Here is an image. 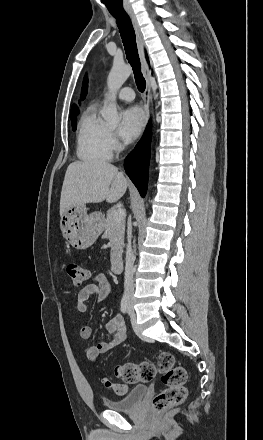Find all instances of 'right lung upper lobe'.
<instances>
[{"mask_svg":"<svg viewBox=\"0 0 263 440\" xmlns=\"http://www.w3.org/2000/svg\"><path fill=\"white\" fill-rule=\"evenodd\" d=\"M86 94H87V78L85 77L82 87V94H81L82 99L85 98ZM77 114H78V109L75 105H73L70 113V119L76 117Z\"/></svg>","mask_w":263,"mask_h":440,"instance_id":"cb5924a9","label":"right lung upper lobe"}]
</instances>
